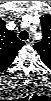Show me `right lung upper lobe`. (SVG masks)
Here are the masks:
<instances>
[{
	"label": "right lung upper lobe",
	"mask_w": 51,
	"mask_h": 101,
	"mask_svg": "<svg viewBox=\"0 0 51 101\" xmlns=\"http://www.w3.org/2000/svg\"><path fill=\"white\" fill-rule=\"evenodd\" d=\"M24 45L25 43L19 40L13 31L5 27V21L0 20V71L13 62L18 50Z\"/></svg>",
	"instance_id": "obj_1"
}]
</instances>
